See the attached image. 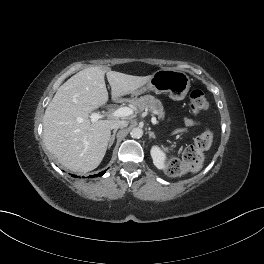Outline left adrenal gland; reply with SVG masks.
Segmentation results:
<instances>
[{
  "instance_id": "1",
  "label": "left adrenal gland",
  "mask_w": 264,
  "mask_h": 264,
  "mask_svg": "<svg viewBox=\"0 0 264 264\" xmlns=\"http://www.w3.org/2000/svg\"><path fill=\"white\" fill-rule=\"evenodd\" d=\"M149 137L155 139V134L152 131H148Z\"/></svg>"
}]
</instances>
